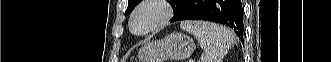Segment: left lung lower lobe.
<instances>
[{
	"mask_svg": "<svg viewBox=\"0 0 331 62\" xmlns=\"http://www.w3.org/2000/svg\"><path fill=\"white\" fill-rule=\"evenodd\" d=\"M206 20L231 27L243 42V7L241 0H187L171 20Z\"/></svg>",
	"mask_w": 331,
	"mask_h": 62,
	"instance_id": "1",
	"label": "left lung lower lobe"
}]
</instances>
